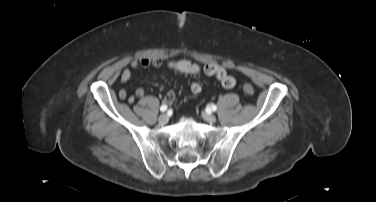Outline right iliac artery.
<instances>
[{
	"label": "right iliac artery",
	"instance_id": "82829eb1",
	"mask_svg": "<svg viewBox=\"0 0 376 202\" xmlns=\"http://www.w3.org/2000/svg\"><path fill=\"white\" fill-rule=\"evenodd\" d=\"M167 110V105L163 104L161 107H160V111L161 112H165Z\"/></svg>",
	"mask_w": 376,
	"mask_h": 202
}]
</instances>
